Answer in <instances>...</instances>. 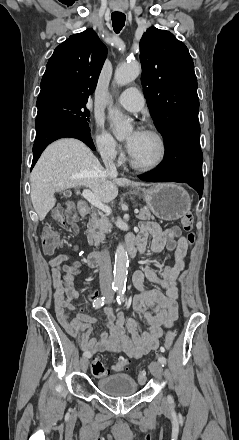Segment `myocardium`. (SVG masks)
Listing matches in <instances>:
<instances>
[{
  "instance_id": "f54148a6",
  "label": "myocardium",
  "mask_w": 239,
  "mask_h": 440,
  "mask_svg": "<svg viewBox=\"0 0 239 440\" xmlns=\"http://www.w3.org/2000/svg\"><path fill=\"white\" fill-rule=\"evenodd\" d=\"M145 132L153 136L158 142L160 153L157 160L151 165H143L132 155V153L129 154V158L130 164L135 170L149 173L159 169L164 164L168 154V145L164 136L156 129L149 128Z\"/></svg>"
}]
</instances>
